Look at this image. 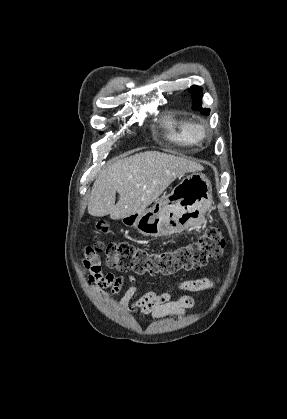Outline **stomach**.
Masks as SVG:
<instances>
[{
	"mask_svg": "<svg viewBox=\"0 0 287 419\" xmlns=\"http://www.w3.org/2000/svg\"><path fill=\"white\" fill-rule=\"evenodd\" d=\"M212 204L210 180L194 172L181 180L170 194L156 200L148 209L121 218L145 236H171L195 226Z\"/></svg>",
	"mask_w": 287,
	"mask_h": 419,
	"instance_id": "0dacf381",
	"label": "stomach"
}]
</instances>
